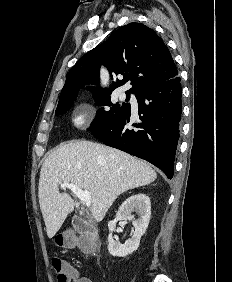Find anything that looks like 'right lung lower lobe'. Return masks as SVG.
Masks as SVG:
<instances>
[{
  "label": "right lung lower lobe",
  "mask_w": 232,
  "mask_h": 282,
  "mask_svg": "<svg viewBox=\"0 0 232 282\" xmlns=\"http://www.w3.org/2000/svg\"><path fill=\"white\" fill-rule=\"evenodd\" d=\"M181 95L178 76L147 84L136 93L138 123L130 124V107L92 134L108 146L152 163L171 179L180 132Z\"/></svg>",
  "instance_id": "obj_1"
}]
</instances>
